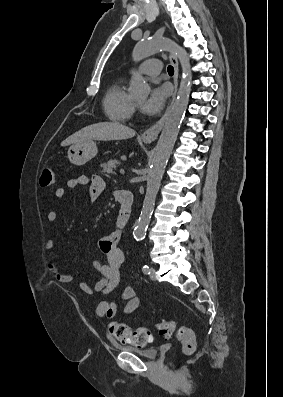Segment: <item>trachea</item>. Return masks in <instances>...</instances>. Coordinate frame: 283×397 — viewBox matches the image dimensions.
<instances>
[{
    "instance_id": "obj_1",
    "label": "trachea",
    "mask_w": 283,
    "mask_h": 397,
    "mask_svg": "<svg viewBox=\"0 0 283 397\" xmlns=\"http://www.w3.org/2000/svg\"><path fill=\"white\" fill-rule=\"evenodd\" d=\"M167 71L170 76L174 74V68L172 66H168Z\"/></svg>"
}]
</instances>
